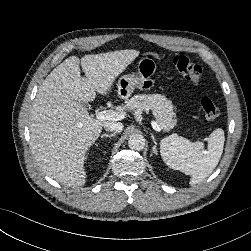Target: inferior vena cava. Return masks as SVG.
I'll return each mask as SVG.
<instances>
[{
  "mask_svg": "<svg viewBox=\"0 0 251 251\" xmlns=\"http://www.w3.org/2000/svg\"><path fill=\"white\" fill-rule=\"evenodd\" d=\"M103 126L107 131L115 133L121 132L124 127L123 124L120 122H105Z\"/></svg>",
  "mask_w": 251,
  "mask_h": 251,
  "instance_id": "602c4592",
  "label": "inferior vena cava"
}]
</instances>
